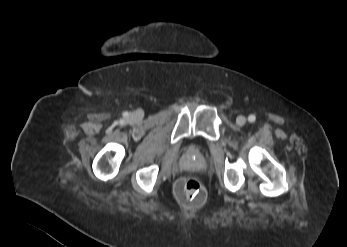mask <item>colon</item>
<instances>
[{"mask_svg": "<svg viewBox=\"0 0 347 247\" xmlns=\"http://www.w3.org/2000/svg\"><path fill=\"white\" fill-rule=\"evenodd\" d=\"M180 201L190 206H200L205 202L206 190L203 184L195 177H182L176 185Z\"/></svg>", "mask_w": 347, "mask_h": 247, "instance_id": "colon-1", "label": "colon"}]
</instances>
